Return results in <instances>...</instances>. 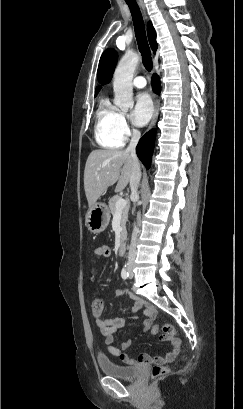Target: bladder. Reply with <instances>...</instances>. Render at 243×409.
Instances as JSON below:
<instances>
[{
  "label": "bladder",
  "instance_id": "31cf9c89",
  "mask_svg": "<svg viewBox=\"0 0 243 409\" xmlns=\"http://www.w3.org/2000/svg\"><path fill=\"white\" fill-rule=\"evenodd\" d=\"M97 362L100 370L105 375L113 378L132 380L138 377V375L141 373V368L138 366H124L113 362L110 359H98Z\"/></svg>",
  "mask_w": 243,
  "mask_h": 409
}]
</instances>
